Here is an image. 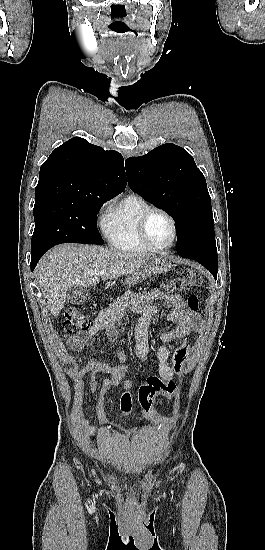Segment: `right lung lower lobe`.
<instances>
[{
  "instance_id": "right-lung-lower-lobe-1",
  "label": "right lung lower lobe",
  "mask_w": 265,
  "mask_h": 550,
  "mask_svg": "<svg viewBox=\"0 0 265 550\" xmlns=\"http://www.w3.org/2000/svg\"><path fill=\"white\" fill-rule=\"evenodd\" d=\"M45 252H39V253H32L31 254V270L33 271L35 266L37 265V262L39 261V259L41 258V256L44 254Z\"/></svg>"
}]
</instances>
